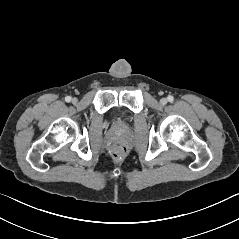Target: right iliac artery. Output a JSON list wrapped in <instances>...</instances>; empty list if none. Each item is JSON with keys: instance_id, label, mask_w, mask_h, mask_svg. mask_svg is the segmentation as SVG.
I'll list each match as a JSON object with an SVG mask.
<instances>
[{"instance_id": "right-iliac-artery-1", "label": "right iliac artery", "mask_w": 239, "mask_h": 239, "mask_svg": "<svg viewBox=\"0 0 239 239\" xmlns=\"http://www.w3.org/2000/svg\"><path fill=\"white\" fill-rule=\"evenodd\" d=\"M65 101H66V102H70V101H71V97H70V96H66V97H65Z\"/></svg>"}]
</instances>
